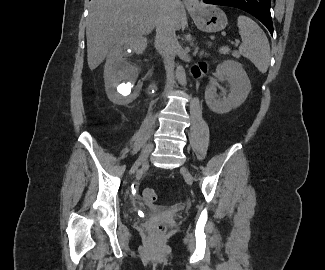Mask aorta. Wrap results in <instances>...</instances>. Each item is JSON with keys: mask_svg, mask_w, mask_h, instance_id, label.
<instances>
[{"mask_svg": "<svg viewBox=\"0 0 325 270\" xmlns=\"http://www.w3.org/2000/svg\"><path fill=\"white\" fill-rule=\"evenodd\" d=\"M176 78L182 86H186L187 80H186L185 69L181 65L177 66L176 68Z\"/></svg>", "mask_w": 325, "mask_h": 270, "instance_id": "1", "label": "aorta"}]
</instances>
